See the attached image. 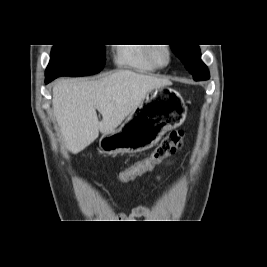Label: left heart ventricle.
I'll return each mask as SVG.
<instances>
[{"instance_id": "b2bd125f", "label": "left heart ventricle", "mask_w": 267, "mask_h": 267, "mask_svg": "<svg viewBox=\"0 0 267 267\" xmlns=\"http://www.w3.org/2000/svg\"><path fill=\"white\" fill-rule=\"evenodd\" d=\"M159 59H160L161 61H164V59H165V55H164L163 52L160 53V55H159Z\"/></svg>"}]
</instances>
